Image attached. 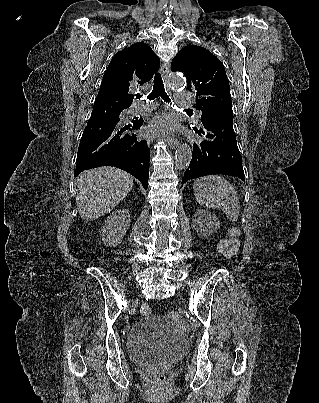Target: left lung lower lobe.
<instances>
[{"label": "left lung lower lobe", "instance_id": "obj_1", "mask_svg": "<svg viewBox=\"0 0 319 403\" xmlns=\"http://www.w3.org/2000/svg\"><path fill=\"white\" fill-rule=\"evenodd\" d=\"M192 129L200 136L182 184L190 179L223 174L245 180L242 158L233 129V113L219 112L204 118Z\"/></svg>", "mask_w": 319, "mask_h": 403}]
</instances>
